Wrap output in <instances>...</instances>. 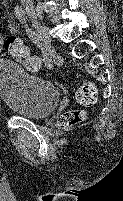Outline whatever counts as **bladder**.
Returning <instances> with one entry per match:
<instances>
[{"label":"bladder","instance_id":"1","mask_svg":"<svg viewBox=\"0 0 123 201\" xmlns=\"http://www.w3.org/2000/svg\"><path fill=\"white\" fill-rule=\"evenodd\" d=\"M0 100L19 116L42 119L58 106L59 92L49 80L32 75L9 58H0Z\"/></svg>","mask_w":123,"mask_h":201}]
</instances>
